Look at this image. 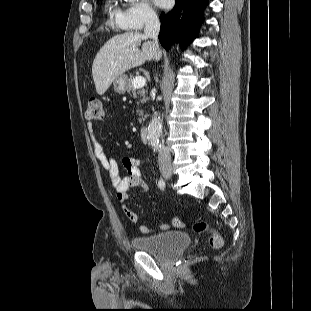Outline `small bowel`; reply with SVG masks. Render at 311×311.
I'll use <instances>...</instances> for the list:
<instances>
[{"mask_svg": "<svg viewBox=\"0 0 311 311\" xmlns=\"http://www.w3.org/2000/svg\"><path fill=\"white\" fill-rule=\"evenodd\" d=\"M88 132L93 143L95 157L101 164L102 169L106 172L120 203L124 204L130 199L129 192L134 188H140L143 191L148 190V185L142 179V163L140 160L130 157L123 158L122 163L127 173L126 175L121 176L116 160L109 158L103 151L101 144L96 138L95 129L92 123H88ZM123 210L131 222L137 223L139 221V215L137 213L126 206L123 207ZM173 225L181 227L184 226V222L174 219ZM159 227L163 231L169 229L168 224H161ZM139 229L143 234H148L152 231L146 225H140Z\"/></svg>", "mask_w": 311, "mask_h": 311, "instance_id": "small-bowel-1", "label": "small bowel"}]
</instances>
